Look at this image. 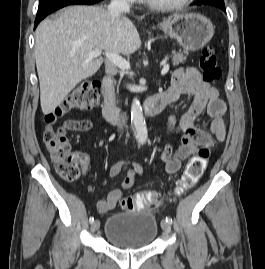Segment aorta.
<instances>
[{"instance_id": "obj_1", "label": "aorta", "mask_w": 265, "mask_h": 269, "mask_svg": "<svg viewBox=\"0 0 265 269\" xmlns=\"http://www.w3.org/2000/svg\"><path fill=\"white\" fill-rule=\"evenodd\" d=\"M131 123L135 128V137L139 144L143 145L147 141L148 132L142 106L138 98H134L131 105Z\"/></svg>"}]
</instances>
